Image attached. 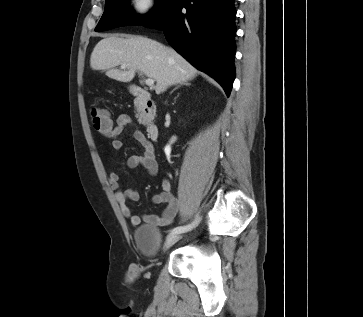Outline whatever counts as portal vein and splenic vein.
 <instances>
[{
	"label": "portal vein and splenic vein",
	"instance_id": "18ae733b",
	"mask_svg": "<svg viewBox=\"0 0 363 317\" xmlns=\"http://www.w3.org/2000/svg\"><path fill=\"white\" fill-rule=\"evenodd\" d=\"M127 66L125 64H122L121 65V68L125 69ZM154 79H151V78H148V79H145V84L149 87H153L154 85Z\"/></svg>",
	"mask_w": 363,
	"mask_h": 317
}]
</instances>
